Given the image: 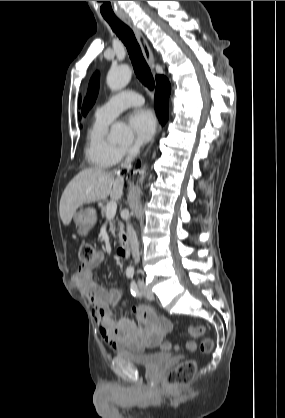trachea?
Instances as JSON below:
<instances>
[{"instance_id": "3493384b", "label": "trachea", "mask_w": 285, "mask_h": 418, "mask_svg": "<svg viewBox=\"0 0 285 418\" xmlns=\"http://www.w3.org/2000/svg\"><path fill=\"white\" fill-rule=\"evenodd\" d=\"M104 19L126 46L137 78L149 90H153L155 86L153 76L133 31L117 17L104 16Z\"/></svg>"}]
</instances>
